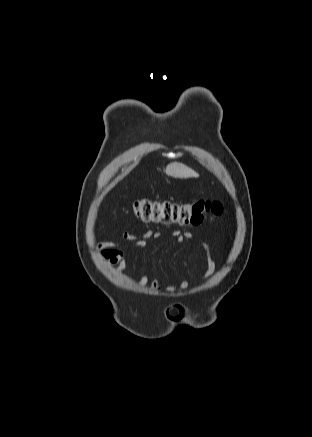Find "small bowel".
Listing matches in <instances>:
<instances>
[{"label":"small bowel","instance_id":"c3829d8e","mask_svg":"<svg viewBox=\"0 0 312 437\" xmlns=\"http://www.w3.org/2000/svg\"><path fill=\"white\" fill-rule=\"evenodd\" d=\"M172 235L176 238L178 243H183L187 240H192L193 236L189 232L181 233L180 231H174ZM161 237V233L158 231H146L140 235H133L128 232L122 233V238L126 240L125 243H115V242H103L97 245V249L101 257L106 261L108 265H117L118 271H122L126 265V254L123 248L126 245H131L137 248H144L147 245L148 239L158 240ZM203 247L209 253V247L205 242H201ZM215 264L213 260L209 257L208 270L204 275V279L209 277L214 271ZM143 283V281H141ZM189 281H183L178 287V290H184L188 288Z\"/></svg>","mask_w":312,"mask_h":437}]
</instances>
